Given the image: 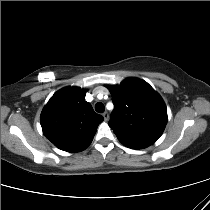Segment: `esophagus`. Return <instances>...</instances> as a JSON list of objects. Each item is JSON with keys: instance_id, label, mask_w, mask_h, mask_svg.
<instances>
[{"instance_id": "1", "label": "esophagus", "mask_w": 210, "mask_h": 210, "mask_svg": "<svg viewBox=\"0 0 210 210\" xmlns=\"http://www.w3.org/2000/svg\"><path fill=\"white\" fill-rule=\"evenodd\" d=\"M102 116H103V118H104L105 121H107V120L109 119V115H108L107 112H104V113L102 114Z\"/></svg>"}]
</instances>
